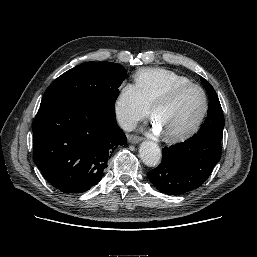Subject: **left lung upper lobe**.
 <instances>
[{"label": "left lung upper lobe", "instance_id": "1", "mask_svg": "<svg viewBox=\"0 0 257 257\" xmlns=\"http://www.w3.org/2000/svg\"><path fill=\"white\" fill-rule=\"evenodd\" d=\"M201 81L208 92L210 104L208 106V113L205 124L203 125L201 130L193 136V138H200L204 136H214L222 138L224 128V115L218 96L214 88L207 80L201 78Z\"/></svg>", "mask_w": 257, "mask_h": 257}]
</instances>
